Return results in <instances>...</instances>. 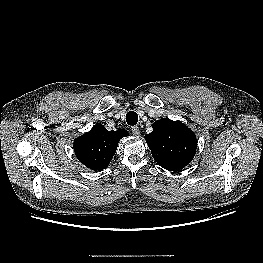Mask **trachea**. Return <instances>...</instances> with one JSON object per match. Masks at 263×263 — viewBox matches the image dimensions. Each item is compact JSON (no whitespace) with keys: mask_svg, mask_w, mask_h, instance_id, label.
I'll list each match as a JSON object with an SVG mask.
<instances>
[{"mask_svg":"<svg viewBox=\"0 0 263 263\" xmlns=\"http://www.w3.org/2000/svg\"><path fill=\"white\" fill-rule=\"evenodd\" d=\"M126 122L128 125H131V126H134L137 124L138 122V115L136 112L134 111H129L127 114H126Z\"/></svg>","mask_w":263,"mask_h":263,"instance_id":"trachea-1","label":"trachea"}]
</instances>
